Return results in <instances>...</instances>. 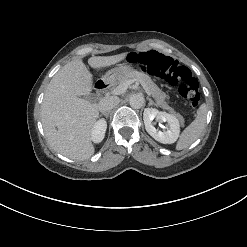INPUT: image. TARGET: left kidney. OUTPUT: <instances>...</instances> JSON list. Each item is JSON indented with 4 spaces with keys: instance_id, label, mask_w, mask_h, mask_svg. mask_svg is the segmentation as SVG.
Wrapping results in <instances>:
<instances>
[{
    "instance_id": "5707ae66",
    "label": "left kidney",
    "mask_w": 247,
    "mask_h": 247,
    "mask_svg": "<svg viewBox=\"0 0 247 247\" xmlns=\"http://www.w3.org/2000/svg\"><path fill=\"white\" fill-rule=\"evenodd\" d=\"M156 119L159 122H167V130H159L153 126L152 121ZM143 120L146 131L158 142L163 144L174 143L180 133L179 120L166 112H161L154 108H146L143 113Z\"/></svg>"
}]
</instances>
